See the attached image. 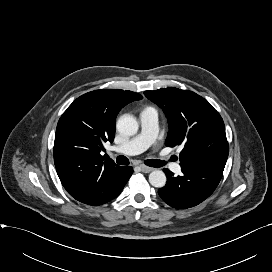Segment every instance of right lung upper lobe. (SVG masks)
I'll return each mask as SVG.
<instances>
[{"mask_svg": "<svg viewBox=\"0 0 272 272\" xmlns=\"http://www.w3.org/2000/svg\"><path fill=\"white\" fill-rule=\"evenodd\" d=\"M143 97L132 91L102 89L77 98L57 124L54 163L69 194L76 193L117 167L100 154L105 142H113L115 120L128 103Z\"/></svg>", "mask_w": 272, "mask_h": 272, "instance_id": "cb5924a9", "label": "right lung upper lobe"}]
</instances>
